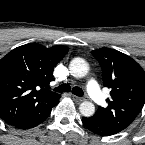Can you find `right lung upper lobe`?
Wrapping results in <instances>:
<instances>
[{
	"mask_svg": "<svg viewBox=\"0 0 145 145\" xmlns=\"http://www.w3.org/2000/svg\"><path fill=\"white\" fill-rule=\"evenodd\" d=\"M68 50L62 45L46 48L30 43L0 60V117L6 123L38 114L59 101L60 95L48 90V85Z\"/></svg>",
	"mask_w": 145,
	"mask_h": 145,
	"instance_id": "right-lung-upper-lobe-1",
	"label": "right lung upper lobe"
}]
</instances>
